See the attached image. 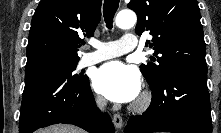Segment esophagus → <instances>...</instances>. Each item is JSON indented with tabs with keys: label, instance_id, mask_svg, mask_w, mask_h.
I'll use <instances>...</instances> for the list:
<instances>
[{
	"label": "esophagus",
	"instance_id": "1",
	"mask_svg": "<svg viewBox=\"0 0 221 133\" xmlns=\"http://www.w3.org/2000/svg\"><path fill=\"white\" fill-rule=\"evenodd\" d=\"M113 123H114V126H115L116 129L119 130V129L122 128V126H123V119H122L120 114L115 113L113 115Z\"/></svg>",
	"mask_w": 221,
	"mask_h": 133
}]
</instances>
